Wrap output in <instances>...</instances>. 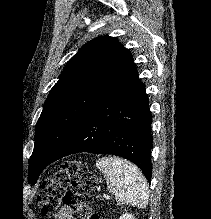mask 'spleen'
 <instances>
[{"instance_id": "3e777b00", "label": "spleen", "mask_w": 211, "mask_h": 219, "mask_svg": "<svg viewBox=\"0 0 211 219\" xmlns=\"http://www.w3.org/2000/svg\"><path fill=\"white\" fill-rule=\"evenodd\" d=\"M96 166L103 173L107 188L114 193L117 204L146 207L148 184L135 165L122 158L103 157L96 161Z\"/></svg>"}]
</instances>
